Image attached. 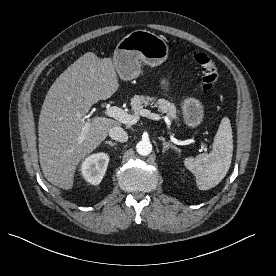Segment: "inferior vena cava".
<instances>
[{"instance_id": "inferior-vena-cava-1", "label": "inferior vena cava", "mask_w": 276, "mask_h": 276, "mask_svg": "<svg viewBox=\"0 0 276 276\" xmlns=\"http://www.w3.org/2000/svg\"><path fill=\"white\" fill-rule=\"evenodd\" d=\"M109 136L111 137V139L122 143L128 140L127 132L119 126L112 127L109 130Z\"/></svg>"}]
</instances>
